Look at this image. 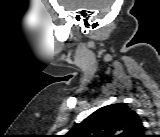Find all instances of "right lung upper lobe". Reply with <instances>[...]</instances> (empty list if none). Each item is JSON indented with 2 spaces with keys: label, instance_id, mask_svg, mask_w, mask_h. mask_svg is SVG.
<instances>
[{
  "label": "right lung upper lobe",
  "instance_id": "right-lung-upper-lobe-1",
  "mask_svg": "<svg viewBox=\"0 0 160 137\" xmlns=\"http://www.w3.org/2000/svg\"><path fill=\"white\" fill-rule=\"evenodd\" d=\"M144 131L137 113L118 103L99 108L68 134L71 137H141Z\"/></svg>",
  "mask_w": 160,
  "mask_h": 137
}]
</instances>
